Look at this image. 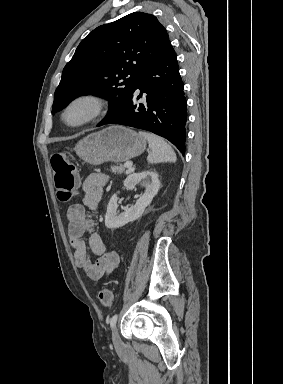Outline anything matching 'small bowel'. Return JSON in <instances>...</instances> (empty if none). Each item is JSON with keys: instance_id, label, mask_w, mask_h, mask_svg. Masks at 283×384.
Listing matches in <instances>:
<instances>
[{"instance_id": "small-bowel-1", "label": "small bowel", "mask_w": 283, "mask_h": 384, "mask_svg": "<svg viewBox=\"0 0 283 384\" xmlns=\"http://www.w3.org/2000/svg\"><path fill=\"white\" fill-rule=\"evenodd\" d=\"M107 182L108 176L104 173L88 175L82 183L83 203L72 205L67 212L68 237L74 249L75 263L95 284L112 273L120 261L119 254L109 250L95 230L94 212ZM90 252L97 256L95 261L91 259Z\"/></svg>"}]
</instances>
